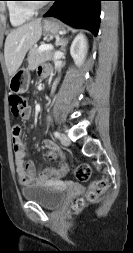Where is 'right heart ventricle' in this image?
I'll use <instances>...</instances> for the list:
<instances>
[{"label": "right heart ventricle", "instance_id": "1", "mask_svg": "<svg viewBox=\"0 0 133 253\" xmlns=\"http://www.w3.org/2000/svg\"><path fill=\"white\" fill-rule=\"evenodd\" d=\"M7 10L10 23L13 26H21L33 17V12L23 8L18 0H10L7 3Z\"/></svg>", "mask_w": 133, "mask_h": 253}]
</instances>
